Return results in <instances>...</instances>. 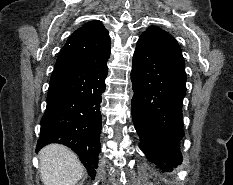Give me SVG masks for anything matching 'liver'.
Segmentation results:
<instances>
[{
  "mask_svg": "<svg viewBox=\"0 0 233 185\" xmlns=\"http://www.w3.org/2000/svg\"><path fill=\"white\" fill-rule=\"evenodd\" d=\"M41 180L44 185H75L85 169L66 146L50 144L39 152Z\"/></svg>",
  "mask_w": 233,
  "mask_h": 185,
  "instance_id": "obj_1",
  "label": "liver"
}]
</instances>
